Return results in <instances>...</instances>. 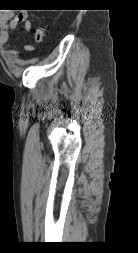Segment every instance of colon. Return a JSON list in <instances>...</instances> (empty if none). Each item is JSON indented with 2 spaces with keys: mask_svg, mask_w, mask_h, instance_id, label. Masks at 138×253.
Here are the masks:
<instances>
[{
  "mask_svg": "<svg viewBox=\"0 0 138 253\" xmlns=\"http://www.w3.org/2000/svg\"><path fill=\"white\" fill-rule=\"evenodd\" d=\"M46 29L44 26H38L34 30V40L37 44H41L45 40Z\"/></svg>",
  "mask_w": 138,
  "mask_h": 253,
  "instance_id": "colon-1",
  "label": "colon"
}]
</instances>
